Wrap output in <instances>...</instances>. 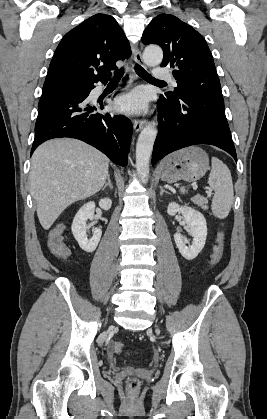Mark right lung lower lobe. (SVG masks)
<instances>
[{
	"label": "right lung lower lobe",
	"instance_id": "1",
	"mask_svg": "<svg viewBox=\"0 0 267 419\" xmlns=\"http://www.w3.org/2000/svg\"><path fill=\"white\" fill-rule=\"evenodd\" d=\"M94 87V83L43 86L31 153L46 140L72 137L94 146L114 163L127 165L132 123L123 115L96 113L104 104L89 102Z\"/></svg>",
	"mask_w": 267,
	"mask_h": 419
}]
</instances>
